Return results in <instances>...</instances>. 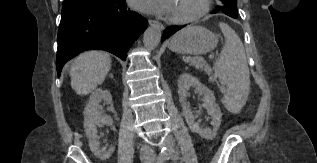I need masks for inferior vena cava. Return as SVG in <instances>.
<instances>
[{
  "label": "inferior vena cava",
  "mask_w": 317,
  "mask_h": 163,
  "mask_svg": "<svg viewBox=\"0 0 317 163\" xmlns=\"http://www.w3.org/2000/svg\"><path fill=\"white\" fill-rule=\"evenodd\" d=\"M141 155L142 156H153L154 153H153V150L150 149L148 146H144L141 148Z\"/></svg>",
  "instance_id": "602c4592"
}]
</instances>
